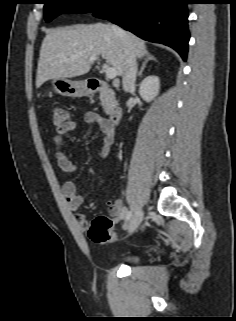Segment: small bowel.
Segmentation results:
<instances>
[{
	"instance_id": "obj_1",
	"label": "small bowel",
	"mask_w": 236,
	"mask_h": 321,
	"mask_svg": "<svg viewBox=\"0 0 236 321\" xmlns=\"http://www.w3.org/2000/svg\"><path fill=\"white\" fill-rule=\"evenodd\" d=\"M85 121L88 124H94L98 127L100 132L104 135L103 147L98 154V158L103 160L109 154L111 146L115 141V125L107 118L95 112H89L85 115ZM77 125L74 121H66L64 124L57 126L55 134L52 139L53 154L57 161L59 168L67 175L73 174L77 170V165L68 158L63 151L65 136L74 131ZM89 172L98 178L99 184L103 183L102 177L94 170L89 169ZM63 195L70 211H77L79 207L85 202V196L82 195L76 184L73 181L64 183ZM109 214L114 217L115 221H120L125 216L126 209L123 207L121 200H114L108 203ZM77 225L82 229H87L88 221L84 214L76 213L74 215Z\"/></svg>"
}]
</instances>
